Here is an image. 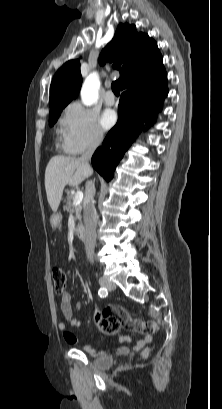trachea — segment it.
Masks as SVG:
<instances>
[{"instance_id":"obj_1","label":"trachea","mask_w":222,"mask_h":409,"mask_svg":"<svg viewBox=\"0 0 222 409\" xmlns=\"http://www.w3.org/2000/svg\"><path fill=\"white\" fill-rule=\"evenodd\" d=\"M111 87H112V91L114 92L115 95L120 94L118 81H113L112 84H111Z\"/></svg>"}]
</instances>
